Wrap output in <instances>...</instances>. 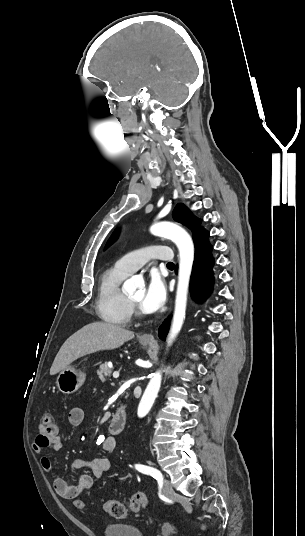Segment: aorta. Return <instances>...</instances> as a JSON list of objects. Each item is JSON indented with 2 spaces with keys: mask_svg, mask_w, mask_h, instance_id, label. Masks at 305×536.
<instances>
[{
  "mask_svg": "<svg viewBox=\"0 0 305 536\" xmlns=\"http://www.w3.org/2000/svg\"><path fill=\"white\" fill-rule=\"evenodd\" d=\"M153 235L166 237L172 240L179 250L178 284L175 298V309L172 325L168 338L170 345L180 332L186 316L188 287L194 261V244L190 235L180 226L171 222H159L150 228ZM140 283L136 277H132L124 283L126 291L134 290ZM162 375L158 371L154 373L147 385L138 406V416L144 417L150 411L161 386Z\"/></svg>",
  "mask_w": 305,
  "mask_h": 536,
  "instance_id": "1",
  "label": "aorta"
}]
</instances>
